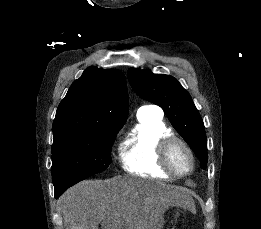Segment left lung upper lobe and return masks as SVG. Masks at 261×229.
Returning <instances> with one entry per match:
<instances>
[{"instance_id": "5c2ea615", "label": "left lung upper lobe", "mask_w": 261, "mask_h": 229, "mask_svg": "<svg viewBox=\"0 0 261 229\" xmlns=\"http://www.w3.org/2000/svg\"><path fill=\"white\" fill-rule=\"evenodd\" d=\"M128 79L136 94L160 106L177 132L201 162L207 165V138L203 120L190 94L172 76L130 68Z\"/></svg>"}]
</instances>
